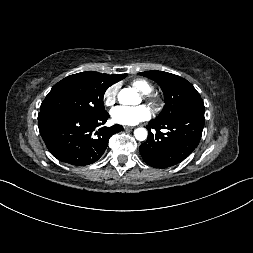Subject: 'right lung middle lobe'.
<instances>
[{
	"label": "right lung middle lobe",
	"mask_w": 253,
	"mask_h": 253,
	"mask_svg": "<svg viewBox=\"0 0 253 253\" xmlns=\"http://www.w3.org/2000/svg\"><path fill=\"white\" fill-rule=\"evenodd\" d=\"M114 83L106 74L93 71L70 75L52 87L41 104L40 112L99 116L106 112L104 93Z\"/></svg>",
	"instance_id": "dd1d6c3e"
}]
</instances>
